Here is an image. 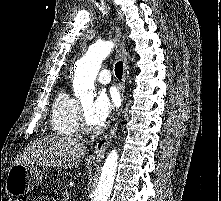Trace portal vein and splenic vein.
<instances>
[{"mask_svg":"<svg viewBox=\"0 0 221 201\" xmlns=\"http://www.w3.org/2000/svg\"><path fill=\"white\" fill-rule=\"evenodd\" d=\"M65 194H66L67 197L69 196V193H68V192H66Z\"/></svg>","mask_w":221,"mask_h":201,"instance_id":"obj_1","label":"portal vein and splenic vein"}]
</instances>
